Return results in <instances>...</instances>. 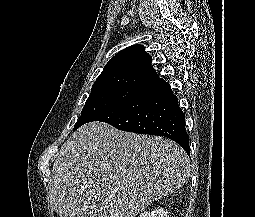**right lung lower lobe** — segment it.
I'll list each match as a JSON object with an SVG mask.
<instances>
[{"mask_svg": "<svg viewBox=\"0 0 255 217\" xmlns=\"http://www.w3.org/2000/svg\"><path fill=\"white\" fill-rule=\"evenodd\" d=\"M115 128L138 134L167 137L183 147L189 155L185 114L168 82L159 78L126 103L94 117Z\"/></svg>", "mask_w": 255, "mask_h": 217, "instance_id": "obj_1", "label": "right lung lower lobe"}]
</instances>
